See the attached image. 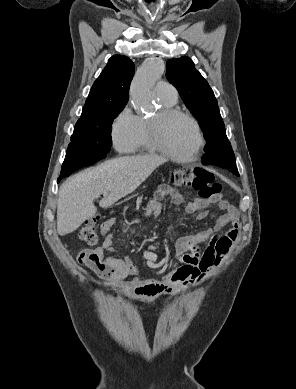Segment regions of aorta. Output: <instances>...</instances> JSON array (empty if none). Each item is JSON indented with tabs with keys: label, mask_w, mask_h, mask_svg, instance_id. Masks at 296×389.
<instances>
[{
	"label": "aorta",
	"mask_w": 296,
	"mask_h": 389,
	"mask_svg": "<svg viewBox=\"0 0 296 389\" xmlns=\"http://www.w3.org/2000/svg\"><path fill=\"white\" fill-rule=\"evenodd\" d=\"M164 72V63L156 58H148L138 68L130 88L131 100L135 106L150 109L153 107L152 89Z\"/></svg>",
	"instance_id": "obj_1"
}]
</instances>
